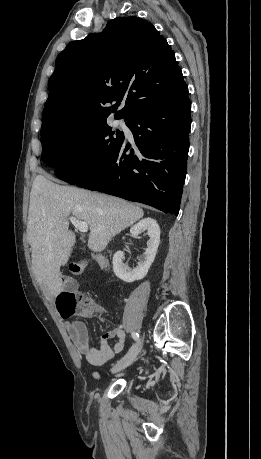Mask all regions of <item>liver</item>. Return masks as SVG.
<instances>
[{"mask_svg": "<svg viewBox=\"0 0 261 459\" xmlns=\"http://www.w3.org/2000/svg\"><path fill=\"white\" fill-rule=\"evenodd\" d=\"M70 214L88 224V247L101 252L144 212L121 198L62 186L46 174L37 175L30 194L27 237L36 280L52 299L64 290L60 267L67 264L76 243L75 234L68 230Z\"/></svg>", "mask_w": 261, "mask_h": 459, "instance_id": "liver-1", "label": "liver"}]
</instances>
